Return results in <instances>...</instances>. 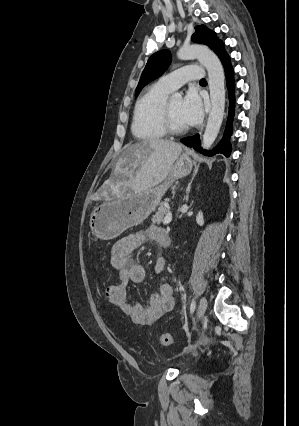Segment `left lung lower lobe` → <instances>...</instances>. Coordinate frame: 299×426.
<instances>
[{
	"label": "left lung lower lobe",
	"mask_w": 299,
	"mask_h": 426,
	"mask_svg": "<svg viewBox=\"0 0 299 426\" xmlns=\"http://www.w3.org/2000/svg\"><path fill=\"white\" fill-rule=\"evenodd\" d=\"M218 57L220 58L226 74V81H227V88L229 90V101H230V107H229V117L226 124V129L224 136L222 140L219 142V144L214 148L212 151H205L201 149V143L199 139V135L196 134L192 137H186L181 139V142L185 144L186 146L193 147L196 151L212 156L214 153H222L225 156H229L231 152V144L229 141V138L232 134V120H233V112H234V79H233V69L230 65V59L228 54L225 52V50H221L217 53Z\"/></svg>",
	"instance_id": "obj_1"
}]
</instances>
